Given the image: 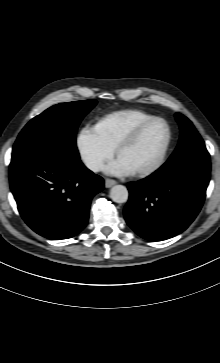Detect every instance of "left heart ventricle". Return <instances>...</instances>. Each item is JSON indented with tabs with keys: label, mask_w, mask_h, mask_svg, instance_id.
<instances>
[{
	"label": "left heart ventricle",
	"mask_w": 220,
	"mask_h": 363,
	"mask_svg": "<svg viewBox=\"0 0 220 363\" xmlns=\"http://www.w3.org/2000/svg\"><path fill=\"white\" fill-rule=\"evenodd\" d=\"M167 138L163 123L157 122L147 127L130 146L122 150L118 158L133 171L151 166L158 159Z\"/></svg>",
	"instance_id": "b2bd125f"
}]
</instances>
